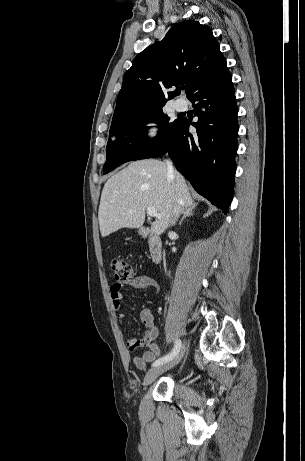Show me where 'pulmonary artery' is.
Segmentation results:
<instances>
[{"label": "pulmonary artery", "instance_id": "pulmonary-artery-1", "mask_svg": "<svg viewBox=\"0 0 305 461\" xmlns=\"http://www.w3.org/2000/svg\"><path fill=\"white\" fill-rule=\"evenodd\" d=\"M174 107L177 111H185L188 107V102L183 98H179L175 101Z\"/></svg>", "mask_w": 305, "mask_h": 461}]
</instances>
